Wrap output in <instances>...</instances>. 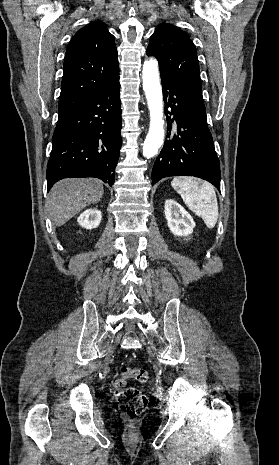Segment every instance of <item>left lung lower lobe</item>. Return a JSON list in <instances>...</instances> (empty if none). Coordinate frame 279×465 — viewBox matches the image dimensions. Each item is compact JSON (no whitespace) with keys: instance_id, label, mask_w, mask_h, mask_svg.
I'll list each match as a JSON object with an SVG mask.
<instances>
[{"instance_id":"obj_1","label":"left lung lower lobe","mask_w":279,"mask_h":465,"mask_svg":"<svg viewBox=\"0 0 279 465\" xmlns=\"http://www.w3.org/2000/svg\"><path fill=\"white\" fill-rule=\"evenodd\" d=\"M168 116V140L155 161L152 184L168 176H195L212 183L220 191V163L207 126L206 110L177 86L161 77ZM167 105V102L165 103ZM176 120L177 127L172 128Z\"/></svg>"}]
</instances>
